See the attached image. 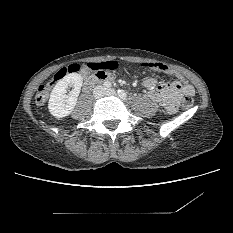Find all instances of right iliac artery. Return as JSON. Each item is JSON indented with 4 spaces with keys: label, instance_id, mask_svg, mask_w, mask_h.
Listing matches in <instances>:
<instances>
[{
    "label": "right iliac artery",
    "instance_id": "obj_1",
    "mask_svg": "<svg viewBox=\"0 0 233 233\" xmlns=\"http://www.w3.org/2000/svg\"><path fill=\"white\" fill-rule=\"evenodd\" d=\"M103 85H104L105 89H109L111 87V83L110 82H105Z\"/></svg>",
    "mask_w": 233,
    "mask_h": 233
}]
</instances>
